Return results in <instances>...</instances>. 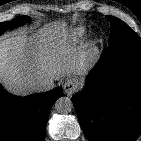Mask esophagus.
Masks as SVG:
<instances>
[{
  "label": "esophagus",
  "instance_id": "1",
  "mask_svg": "<svg viewBox=\"0 0 141 141\" xmlns=\"http://www.w3.org/2000/svg\"><path fill=\"white\" fill-rule=\"evenodd\" d=\"M79 85L80 81L77 78H70L64 83L63 88L68 95H72L77 91Z\"/></svg>",
  "mask_w": 141,
  "mask_h": 141
}]
</instances>
